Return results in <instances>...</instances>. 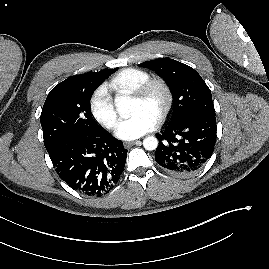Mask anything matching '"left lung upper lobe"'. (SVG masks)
Wrapping results in <instances>:
<instances>
[{
	"label": "left lung upper lobe",
	"mask_w": 269,
	"mask_h": 269,
	"mask_svg": "<svg viewBox=\"0 0 269 269\" xmlns=\"http://www.w3.org/2000/svg\"><path fill=\"white\" fill-rule=\"evenodd\" d=\"M138 66L155 71L169 86L173 95L170 123L194 115H215L211 91L192 67L169 58L147 61Z\"/></svg>",
	"instance_id": "1"
}]
</instances>
